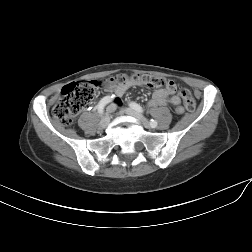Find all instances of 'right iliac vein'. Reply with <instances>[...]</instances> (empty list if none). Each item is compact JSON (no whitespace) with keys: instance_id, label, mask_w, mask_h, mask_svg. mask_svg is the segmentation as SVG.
I'll list each match as a JSON object with an SVG mask.
<instances>
[{"instance_id":"1","label":"right iliac vein","mask_w":252,"mask_h":252,"mask_svg":"<svg viewBox=\"0 0 252 252\" xmlns=\"http://www.w3.org/2000/svg\"><path fill=\"white\" fill-rule=\"evenodd\" d=\"M110 122V115L108 113L105 114V116L101 119L99 123V128L104 129L108 126Z\"/></svg>"}]
</instances>
